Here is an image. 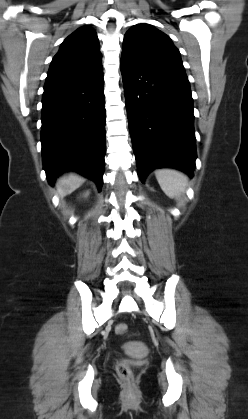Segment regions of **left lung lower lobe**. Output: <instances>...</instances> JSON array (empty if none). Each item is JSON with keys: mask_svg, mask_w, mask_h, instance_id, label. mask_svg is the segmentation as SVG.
Returning <instances> with one entry per match:
<instances>
[{"mask_svg": "<svg viewBox=\"0 0 248 419\" xmlns=\"http://www.w3.org/2000/svg\"><path fill=\"white\" fill-rule=\"evenodd\" d=\"M126 108L138 175L144 183L155 168L193 175L195 131L188 78L121 58Z\"/></svg>", "mask_w": 248, "mask_h": 419, "instance_id": "obj_1", "label": "left lung lower lobe"}]
</instances>
